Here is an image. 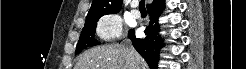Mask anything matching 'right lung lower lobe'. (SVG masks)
Here are the masks:
<instances>
[{
	"label": "right lung lower lobe",
	"instance_id": "98d812e1",
	"mask_svg": "<svg viewBox=\"0 0 246 69\" xmlns=\"http://www.w3.org/2000/svg\"><path fill=\"white\" fill-rule=\"evenodd\" d=\"M163 8L164 0H154L151 6H147L150 22L148 29L145 30L146 37L144 39L136 38L134 30H130L128 33L133 46L152 69H156L158 64V49L161 47V38L158 34L160 31L158 17Z\"/></svg>",
	"mask_w": 246,
	"mask_h": 69
}]
</instances>
